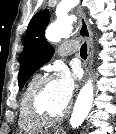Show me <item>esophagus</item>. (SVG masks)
<instances>
[{"label":"esophagus","instance_id":"esophagus-1","mask_svg":"<svg viewBox=\"0 0 116 134\" xmlns=\"http://www.w3.org/2000/svg\"><path fill=\"white\" fill-rule=\"evenodd\" d=\"M77 16H78V22H79L78 33L87 42L88 56H87L86 61L84 62V68H85V76L83 79V81H84L89 72V67H90V64H91L92 58H93V34L86 21L85 14L83 13V11L81 10L80 7H78V9H77Z\"/></svg>","mask_w":116,"mask_h":134}]
</instances>
